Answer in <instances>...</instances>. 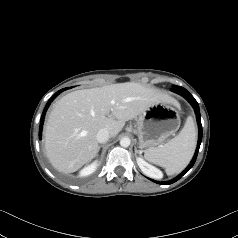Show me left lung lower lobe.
<instances>
[{"mask_svg": "<svg viewBox=\"0 0 238 238\" xmlns=\"http://www.w3.org/2000/svg\"><path fill=\"white\" fill-rule=\"evenodd\" d=\"M171 91L173 92H176L180 95H182L184 98H186L190 103L191 105L193 106L194 110H195V113H196V117H197V122H198V128H199V136H198V144H197V149H196V152H195V155L190 163V165L185 169V171H183L178 177H176L175 179L169 181V182H157V181H154L152 180L153 182H156V183H159V184H164V185H167V184H171V183H174L176 182L177 180H179L186 172H188L192 166L194 165L195 161H196V158H197V155H198V151H199V148H200V144H201V141H202V125H201V117H200V110H199V105L197 103V101L195 100V98L183 87H180V86H174Z\"/></svg>", "mask_w": 238, "mask_h": 238, "instance_id": "left-lung-lower-lobe-1", "label": "left lung lower lobe"}]
</instances>
